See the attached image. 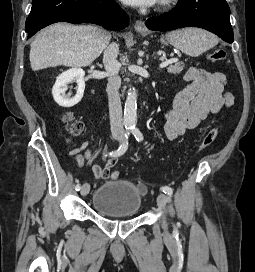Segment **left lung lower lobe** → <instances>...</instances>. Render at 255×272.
Masks as SVG:
<instances>
[{"mask_svg": "<svg viewBox=\"0 0 255 272\" xmlns=\"http://www.w3.org/2000/svg\"><path fill=\"white\" fill-rule=\"evenodd\" d=\"M150 30H174L183 27L204 28L228 43L234 41L230 8L226 0H179L176 9L146 21Z\"/></svg>", "mask_w": 255, "mask_h": 272, "instance_id": "obj_1", "label": "left lung lower lobe"}]
</instances>
